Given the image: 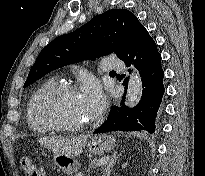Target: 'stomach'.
<instances>
[{"mask_svg": "<svg viewBox=\"0 0 205 176\" xmlns=\"http://www.w3.org/2000/svg\"><path fill=\"white\" fill-rule=\"evenodd\" d=\"M115 139L110 135L94 136L88 144L89 151L93 154L102 155L105 152L111 151L115 146ZM53 162L64 173L71 175L79 169V162L75 157L55 153Z\"/></svg>", "mask_w": 205, "mask_h": 176, "instance_id": "0dacf381", "label": "stomach"}]
</instances>
